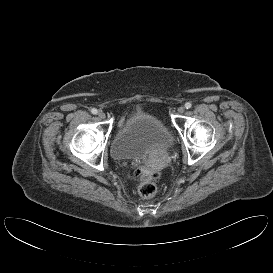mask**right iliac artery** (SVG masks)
<instances>
[{
  "instance_id": "right-iliac-artery-1",
  "label": "right iliac artery",
  "mask_w": 273,
  "mask_h": 273,
  "mask_svg": "<svg viewBox=\"0 0 273 273\" xmlns=\"http://www.w3.org/2000/svg\"><path fill=\"white\" fill-rule=\"evenodd\" d=\"M91 113L94 114V115H96L98 113V110L95 109V108H93V109H91Z\"/></svg>"
}]
</instances>
